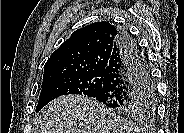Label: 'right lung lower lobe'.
Here are the masks:
<instances>
[{
    "instance_id": "1",
    "label": "right lung lower lobe",
    "mask_w": 184,
    "mask_h": 133,
    "mask_svg": "<svg viewBox=\"0 0 184 133\" xmlns=\"http://www.w3.org/2000/svg\"><path fill=\"white\" fill-rule=\"evenodd\" d=\"M151 85L148 60L128 32L120 30L102 88L94 98L106 106L132 105L147 98Z\"/></svg>"
}]
</instances>
